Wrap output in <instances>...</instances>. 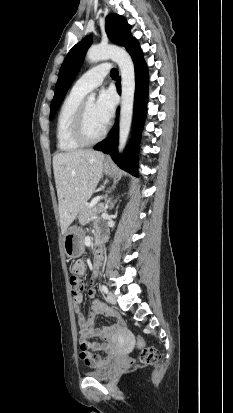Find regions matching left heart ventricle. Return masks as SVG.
Instances as JSON below:
<instances>
[{"mask_svg":"<svg viewBox=\"0 0 233 413\" xmlns=\"http://www.w3.org/2000/svg\"><path fill=\"white\" fill-rule=\"evenodd\" d=\"M86 111H87L86 113L87 134L90 137H96L102 132V130L104 129L106 125L103 124L102 121L99 119L97 112H96L94 101L87 102Z\"/></svg>","mask_w":233,"mask_h":413,"instance_id":"left-heart-ventricle-1","label":"left heart ventricle"}]
</instances>
